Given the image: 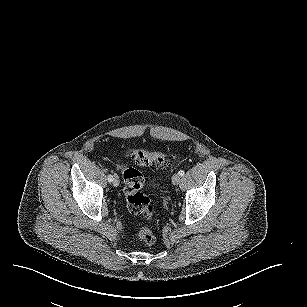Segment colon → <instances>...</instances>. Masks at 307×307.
Wrapping results in <instances>:
<instances>
[{
	"label": "colon",
	"instance_id": "5ec220e1",
	"mask_svg": "<svg viewBox=\"0 0 307 307\" xmlns=\"http://www.w3.org/2000/svg\"><path fill=\"white\" fill-rule=\"evenodd\" d=\"M136 164L141 166L158 167L166 164L165 154L161 152L148 151L141 148H131L127 150ZM122 175L125 183V195L127 207L132 214L139 215L144 220L138 229L139 239L147 245H152L156 237L150 226V221L154 215V206L150 198L142 192L143 177L142 174L129 167L122 166Z\"/></svg>",
	"mask_w": 307,
	"mask_h": 307
}]
</instances>
